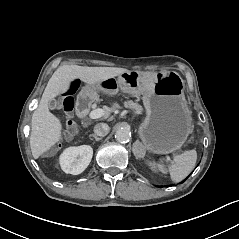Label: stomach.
I'll list each match as a JSON object with an SVG mask.
<instances>
[{
    "label": "stomach",
    "mask_w": 239,
    "mask_h": 239,
    "mask_svg": "<svg viewBox=\"0 0 239 239\" xmlns=\"http://www.w3.org/2000/svg\"><path fill=\"white\" fill-rule=\"evenodd\" d=\"M184 81L178 74L161 73L154 76L140 71H128L118 78L87 84L78 99L97 100L99 93L113 96L121 90L131 95H143L146 117L138 134L141 149L156 154L178 150L192 131L191 111L184 95Z\"/></svg>",
    "instance_id": "stomach-1"
}]
</instances>
